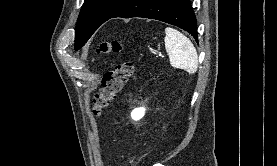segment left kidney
<instances>
[{"instance_id": "5707ae66", "label": "left kidney", "mask_w": 277, "mask_h": 166, "mask_svg": "<svg viewBox=\"0 0 277 166\" xmlns=\"http://www.w3.org/2000/svg\"><path fill=\"white\" fill-rule=\"evenodd\" d=\"M144 114H145V108H143V107L135 108L131 112V117L133 120L138 121L144 116Z\"/></svg>"}]
</instances>
